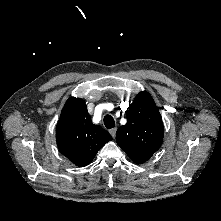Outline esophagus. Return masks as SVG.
<instances>
[{"label": "esophagus", "mask_w": 221, "mask_h": 221, "mask_svg": "<svg viewBox=\"0 0 221 221\" xmlns=\"http://www.w3.org/2000/svg\"><path fill=\"white\" fill-rule=\"evenodd\" d=\"M116 131H117V128H112V129L109 130V132H110V134H111V136H112L113 138H115Z\"/></svg>", "instance_id": "1"}]
</instances>
